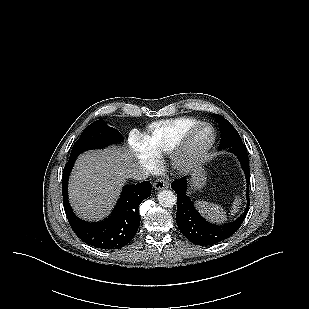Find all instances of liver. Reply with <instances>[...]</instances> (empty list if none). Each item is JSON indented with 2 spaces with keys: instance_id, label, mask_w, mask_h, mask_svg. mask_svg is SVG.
<instances>
[{
  "instance_id": "obj_1",
  "label": "liver",
  "mask_w": 309,
  "mask_h": 309,
  "mask_svg": "<svg viewBox=\"0 0 309 309\" xmlns=\"http://www.w3.org/2000/svg\"><path fill=\"white\" fill-rule=\"evenodd\" d=\"M133 166L132 155L121 148L80 155L69 183V198L76 213L86 220L104 218Z\"/></svg>"
}]
</instances>
